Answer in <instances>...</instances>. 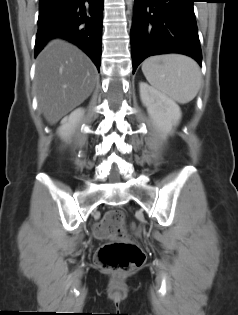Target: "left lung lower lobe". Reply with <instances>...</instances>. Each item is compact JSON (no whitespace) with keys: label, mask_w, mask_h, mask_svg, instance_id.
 Wrapping results in <instances>:
<instances>
[{"label":"left lung lower lobe","mask_w":238,"mask_h":315,"mask_svg":"<svg viewBox=\"0 0 238 315\" xmlns=\"http://www.w3.org/2000/svg\"><path fill=\"white\" fill-rule=\"evenodd\" d=\"M131 29L133 73L147 57L181 53L199 65L202 53L195 20V0H134Z\"/></svg>","instance_id":"obj_1"}]
</instances>
